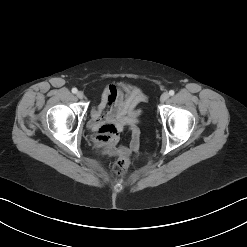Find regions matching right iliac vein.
Returning a JSON list of instances; mask_svg holds the SVG:
<instances>
[{"label": "right iliac vein", "mask_w": 247, "mask_h": 247, "mask_svg": "<svg viewBox=\"0 0 247 247\" xmlns=\"http://www.w3.org/2000/svg\"><path fill=\"white\" fill-rule=\"evenodd\" d=\"M76 95H77V97H78L79 99H83V98H84V93H83L82 91H78V92L76 93Z\"/></svg>", "instance_id": "obj_1"}]
</instances>
